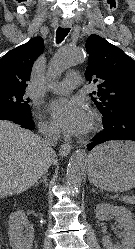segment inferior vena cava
<instances>
[{
    "label": "inferior vena cava",
    "mask_w": 135,
    "mask_h": 249,
    "mask_svg": "<svg viewBox=\"0 0 135 249\" xmlns=\"http://www.w3.org/2000/svg\"><path fill=\"white\" fill-rule=\"evenodd\" d=\"M40 132L44 136L43 142H44L45 147L49 151L54 153L52 146H55L57 144V141L60 139V131L54 127L41 126Z\"/></svg>",
    "instance_id": "inferior-vena-cava-1"
}]
</instances>
